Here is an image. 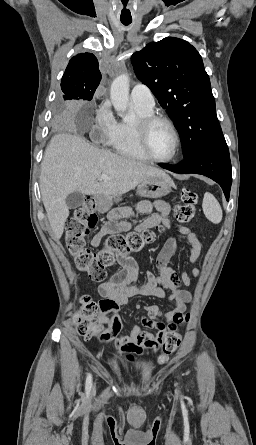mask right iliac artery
<instances>
[{
  "instance_id": "1",
  "label": "right iliac artery",
  "mask_w": 256,
  "mask_h": 445,
  "mask_svg": "<svg viewBox=\"0 0 256 445\" xmlns=\"http://www.w3.org/2000/svg\"><path fill=\"white\" fill-rule=\"evenodd\" d=\"M91 386H92V377H91V375L89 374V375L87 376V379H86V385H85V390H86V393H87V394L90 393V391H91Z\"/></svg>"
}]
</instances>
